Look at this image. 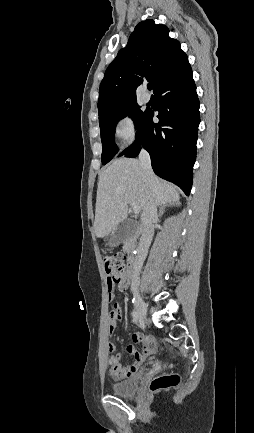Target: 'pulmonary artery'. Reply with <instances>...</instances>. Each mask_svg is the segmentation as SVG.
Returning a JSON list of instances; mask_svg holds the SVG:
<instances>
[{
	"label": "pulmonary artery",
	"instance_id": "pulmonary-artery-1",
	"mask_svg": "<svg viewBox=\"0 0 254 433\" xmlns=\"http://www.w3.org/2000/svg\"><path fill=\"white\" fill-rule=\"evenodd\" d=\"M143 100H144L145 103L149 102V100H150V97H149V95L146 92L143 95Z\"/></svg>",
	"mask_w": 254,
	"mask_h": 433
}]
</instances>
